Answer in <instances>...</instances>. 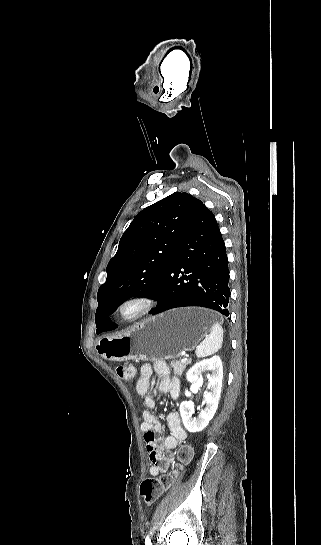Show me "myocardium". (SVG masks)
<instances>
[{
    "mask_svg": "<svg viewBox=\"0 0 321 545\" xmlns=\"http://www.w3.org/2000/svg\"><path fill=\"white\" fill-rule=\"evenodd\" d=\"M156 300L148 294H132L119 303L117 313L127 323H135L148 316L156 307Z\"/></svg>",
    "mask_w": 321,
    "mask_h": 545,
    "instance_id": "1",
    "label": "myocardium"
}]
</instances>
